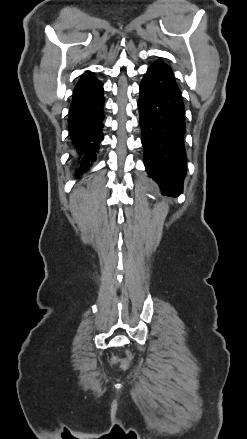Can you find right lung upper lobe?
I'll list each match as a JSON object with an SVG mask.
<instances>
[{
  "mask_svg": "<svg viewBox=\"0 0 247 439\" xmlns=\"http://www.w3.org/2000/svg\"><path fill=\"white\" fill-rule=\"evenodd\" d=\"M92 75H93V74H92V72H90V71L85 72V73L81 76V78H80V80L78 81V83H77V85H76V87H75L74 90L85 89V88H88V87H90V86L95 85L96 83H98L99 80H97L96 78H93Z\"/></svg>",
  "mask_w": 247,
  "mask_h": 439,
  "instance_id": "cb5924a9",
  "label": "right lung upper lobe"
}]
</instances>
